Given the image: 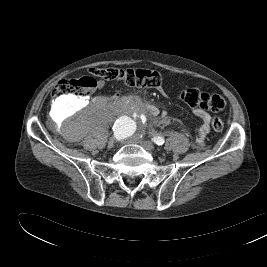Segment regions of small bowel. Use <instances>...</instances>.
Wrapping results in <instances>:
<instances>
[{
  "mask_svg": "<svg viewBox=\"0 0 267 267\" xmlns=\"http://www.w3.org/2000/svg\"><path fill=\"white\" fill-rule=\"evenodd\" d=\"M104 86L103 82H99L98 87L102 88ZM158 91L160 92V94L164 97H168V94L166 93V91L162 88H158ZM194 115H196L198 118H200V120L202 121V124L197 132V142L201 145L204 142V138L205 136L209 133L210 128H209V122H210V115L200 109H195L193 111ZM152 114L154 116L157 115V111H153Z\"/></svg>",
  "mask_w": 267,
  "mask_h": 267,
  "instance_id": "c3829d8e",
  "label": "small bowel"
}]
</instances>
